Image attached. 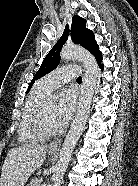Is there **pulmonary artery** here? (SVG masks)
<instances>
[{
	"label": "pulmonary artery",
	"instance_id": "obj_1",
	"mask_svg": "<svg viewBox=\"0 0 138 186\" xmlns=\"http://www.w3.org/2000/svg\"><path fill=\"white\" fill-rule=\"evenodd\" d=\"M82 68L78 65L63 66L44 76L40 81L48 91H52L78 77Z\"/></svg>",
	"mask_w": 138,
	"mask_h": 186
}]
</instances>
